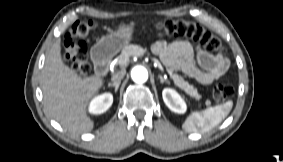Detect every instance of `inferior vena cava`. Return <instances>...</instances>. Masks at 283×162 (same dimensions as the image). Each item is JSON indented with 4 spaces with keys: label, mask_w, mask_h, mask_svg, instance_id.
Instances as JSON below:
<instances>
[{
    "label": "inferior vena cava",
    "mask_w": 283,
    "mask_h": 162,
    "mask_svg": "<svg viewBox=\"0 0 283 162\" xmlns=\"http://www.w3.org/2000/svg\"><path fill=\"white\" fill-rule=\"evenodd\" d=\"M125 74H126L125 70H120L117 73L113 74L111 77L112 82L115 84L120 83L123 77L125 76Z\"/></svg>",
    "instance_id": "inferior-vena-cava-1"
}]
</instances>
